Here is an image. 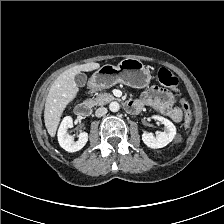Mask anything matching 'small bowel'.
Listing matches in <instances>:
<instances>
[{
  "label": "small bowel",
  "instance_id": "c3829d8e",
  "mask_svg": "<svg viewBox=\"0 0 224 224\" xmlns=\"http://www.w3.org/2000/svg\"><path fill=\"white\" fill-rule=\"evenodd\" d=\"M175 96L158 87H151L143 92L138 100H134L141 107H153L161 114L170 117L172 120L178 122L182 118L180 109L174 107Z\"/></svg>",
  "mask_w": 224,
  "mask_h": 224
}]
</instances>
